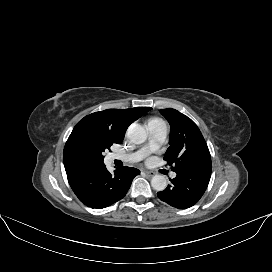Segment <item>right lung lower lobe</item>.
Wrapping results in <instances>:
<instances>
[{"label": "right lung lower lobe", "mask_w": 272, "mask_h": 272, "mask_svg": "<svg viewBox=\"0 0 272 272\" xmlns=\"http://www.w3.org/2000/svg\"><path fill=\"white\" fill-rule=\"evenodd\" d=\"M66 173L78 199L88 207L102 209L122 199L129 190L133 178L140 171L125 166L111 174L102 164Z\"/></svg>", "instance_id": "obj_1"}]
</instances>
